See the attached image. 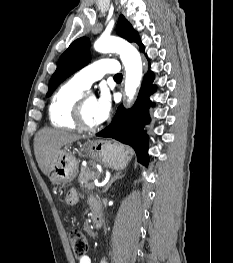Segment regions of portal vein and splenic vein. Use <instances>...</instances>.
I'll return each instance as SVG.
<instances>
[{"label": "portal vein and splenic vein", "instance_id": "1", "mask_svg": "<svg viewBox=\"0 0 233 263\" xmlns=\"http://www.w3.org/2000/svg\"><path fill=\"white\" fill-rule=\"evenodd\" d=\"M94 184H95V185H98V183H96V182H95Z\"/></svg>", "mask_w": 233, "mask_h": 263}]
</instances>
